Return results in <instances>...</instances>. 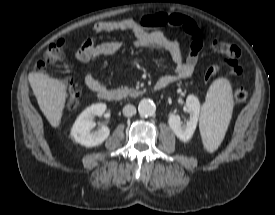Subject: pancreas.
I'll use <instances>...</instances> for the list:
<instances>
[{"instance_id": "obj_1", "label": "pancreas", "mask_w": 275, "mask_h": 215, "mask_svg": "<svg viewBox=\"0 0 275 215\" xmlns=\"http://www.w3.org/2000/svg\"><path fill=\"white\" fill-rule=\"evenodd\" d=\"M120 94L123 97L131 96V97H137L138 95L142 94V91H137L136 89L129 88L127 86L121 87L119 89Z\"/></svg>"}]
</instances>
